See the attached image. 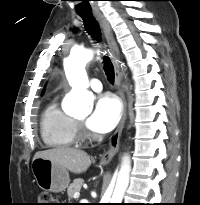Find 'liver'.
Masks as SVG:
<instances>
[{
    "mask_svg": "<svg viewBox=\"0 0 200 205\" xmlns=\"http://www.w3.org/2000/svg\"><path fill=\"white\" fill-rule=\"evenodd\" d=\"M49 159L75 174L85 172L91 165L89 155L75 148L56 147L36 152L34 158Z\"/></svg>",
    "mask_w": 200,
    "mask_h": 205,
    "instance_id": "1",
    "label": "liver"
}]
</instances>
